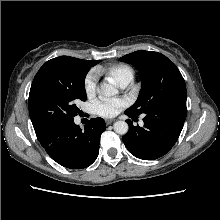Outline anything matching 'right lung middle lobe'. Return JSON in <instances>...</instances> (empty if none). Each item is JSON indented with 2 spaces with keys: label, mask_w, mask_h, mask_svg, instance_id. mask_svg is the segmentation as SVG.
I'll return each mask as SVG.
<instances>
[{
  "label": "right lung middle lobe",
  "mask_w": 220,
  "mask_h": 220,
  "mask_svg": "<svg viewBox=\"0 0 220 220\" xmlns=\"http://www.w3.org/2000/svg\"><path fill=\"white\" fill-rule=\"evenodd\" d=\"M99 62L82 64L54 58L43 64L34 77L28 100L37 138L54 132L79 113L76 103L86 100L85 76Z\"/></svg>",
  "instance_id": "1"
}]
</instances>
